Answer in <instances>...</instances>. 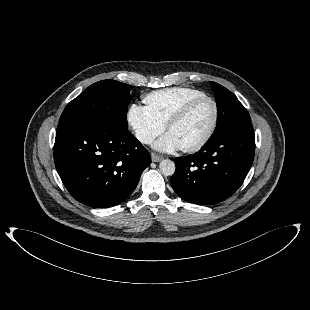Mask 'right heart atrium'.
Segmentation results:
<instances>
[{"mask_svg":"<svg viewBox=\"0 0 310 310\" xmlns=\"http://www.w3.org/2000/svg\"><path fill=\"white\" fill-rule=\"evenodd\" d=\"M127 122L135 138L146 145L151 144L166 128L151 114L146 106L136 103L129 107Z\"/></svg>","mask_w":310,"mask_h":310,"instance_id":"obj_1","label":"right heart atrium"}]
</instances>
